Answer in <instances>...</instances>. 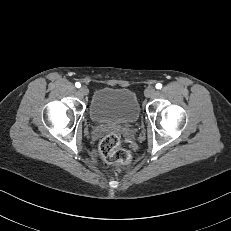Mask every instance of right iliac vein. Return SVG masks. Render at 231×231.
I'll return each instance as SVG.
<instances>
[{
	"label": "right iliac vein",
	"mask_w": 231,
	"mask_h": 231,
	"mask_svg": "<svg viewBox=\"0 0 231 231\" xmlns=\"http://www.w3.org/2000/svg\"><path fill=\"white\" fill-rule=\"evenodd\" d=\"M79 91L82 95H87L89 93L88 88L85 86H82Z\"/></svg>",
	"instance_id": "obj_1"
}]
</instances>
